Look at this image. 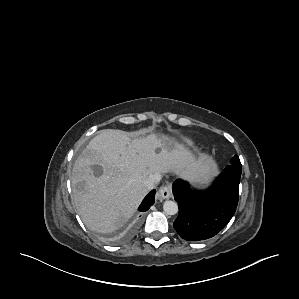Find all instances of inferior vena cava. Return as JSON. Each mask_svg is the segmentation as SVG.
Instances as JSON below:
<instances>
[{"mask_svg": "<svg viewBox=\"0 0 299 299\" xmlns=\"http://www.w3.org/2000/svg\"><path fill=\"white\" fill-rule=\"evenodd\" d=\"M161 175L159 174H151L145 181H144V186L147 190H152L153 188L158 185L160 182Z\"/></svg>", "mask_w": 299, "mask_h": 299, "instance_id": "1", "label": "inferior vena cava"}]
</instances>
